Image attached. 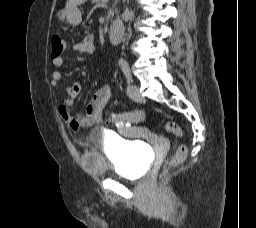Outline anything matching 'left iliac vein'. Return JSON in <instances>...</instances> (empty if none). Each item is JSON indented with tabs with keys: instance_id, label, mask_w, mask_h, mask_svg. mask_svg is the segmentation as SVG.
Returning a JSON list of instances; mask_svg holds the SVG:
<instances>
[{
	"instance_id": "obj_1",
	"label": "left iliac vein",
	"mask_w": 256,
	"mask_h": 228,
	"mask_svg": "<svg viewBox=\"0 0 256 228\" xmlns=\"http://www.w3.org/2000/svg\"><path fill=\"white\" fill-rule=\"evenodd\" d=\"M127 94L132 100L136 102H142L144 100L139 91V88L135 84L128 85Z\"/></svg>"
}]
</instances>
